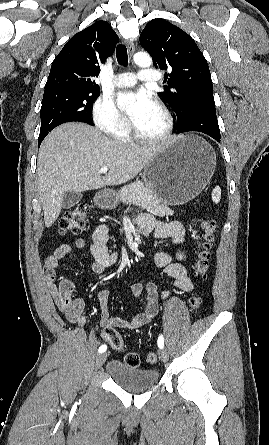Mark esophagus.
I'll list each match as a JSON object with an SVG mask.
<instances>
[{
  "label": "esophagus",
  "instance_id": "1",
  "mask_svg": "<svg viewBox=\"0 0 269 445\" xmlns=\"http://www.w3.org/2000/svg\"><path fill=\"white\" fill-rule=\"evenodd\" d=\"M126 46H127V49H128L129 54H130V55H133V53H134V51H135L134 43H133V42H130V41H127V42H126Z\"/></svg>",
  "mask_w": 269,
  "mask_h": 445
}]
</instances>
